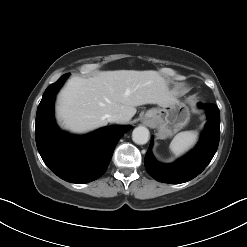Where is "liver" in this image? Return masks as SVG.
Listing matches in <instances>:
<instances>
[{
  "label": "liver",
  "instance_id": "liver-1",
  "mask_svg": "<svg viewBox=\"0 0 247 247\" xmlns=\"http://www.w3.org/2000/svg\"><path fill=\"white\" fill-rule=\"evenodd\" d=\"M175 101L156 71L116 70L91 78L72 77L58 97L57 117L66 129L83 133L107 125V116L120 113L129 121L136 107Z\"/></svg>",
  "mask_w": 247,
  "mask_h": 247
}]
</instances>
